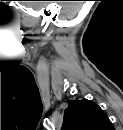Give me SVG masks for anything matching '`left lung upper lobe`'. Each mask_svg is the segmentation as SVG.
<instances>
[{
  "mask_svg": "<svg viewBox=\"0 0 123 130\" xmlns=\"http://www.w3.org/2000/svg\"><path fill=\"white\" fill-rule=\"evenodd\" d=\"M64 130H112L104 111L90 100L70 101L64 112Z\"/></svg>",
  "mask_w": 123,
  "mask_h": 130,
  "instance_id": "obj_1",
  "label": "left lung upper lobe"
}]
</instances>
